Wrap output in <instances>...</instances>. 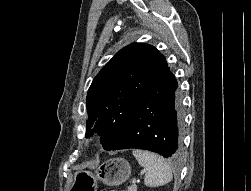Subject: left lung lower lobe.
I'll return each mask as SVG.
<instances>
[{
	"mask_svg": "<svg viewBox=\"0 0 251 191\" xmlns=\"http://www.w3.org/2000/svg\"><path fill=\"white\" fill-rule=\"evenodd\" d=\"M177 81L167 67L133 110L111 150L144 149L163 157L181 151V101Z\"/></svg>",
	"mask_w": 251,
	"mask_h": 191,
	"instance_id": "1",
	"label": "left lung lower lobe"
}]
</instances>
